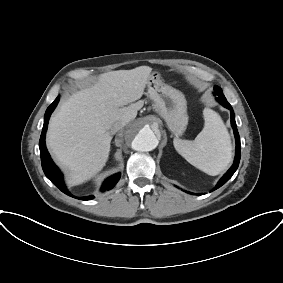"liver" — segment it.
<instances>
[{"instance_id":"6515ba94","label":"liver","mask_w":283,"mask_h":283,"mask_svg":"<svg viewBox=\"0 0 283 283\" xmlns=\"http://www.w3.org/2000/svg\"><path fill=\"white\" fill-rule=\"evenodd\" d=\"M152 68L111 71L96 84L74 93L51 117L47 145L70 173L67 183L81 184L105 166L111 143L110 128L135 119L143 106L139 100ZM128 105V106H127Z\"/></svg>"}]
</instances>
